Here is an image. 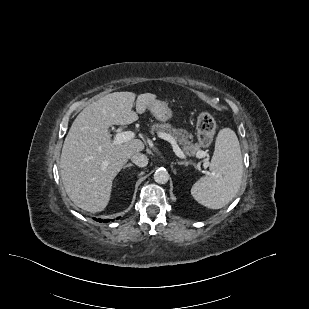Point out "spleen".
<instances>
[{
	"label": "spleen",
	"mask_w": 309,
	"mask_h": 309,
	"mask_svg": "<svg viewBox=\"0 0 309 309\" xmlns=\"http://www.w3.org/2000/svg\"><path fill=\"white\" fill-rule=\"evenodd\" d=\"M243 161L238 138L230 128L221 129L208 175L191 189L193 198L210 209H220L237 194L242 180Z\"/></svg>",
	"instance_id": "obj_1"
}]
</instances>
